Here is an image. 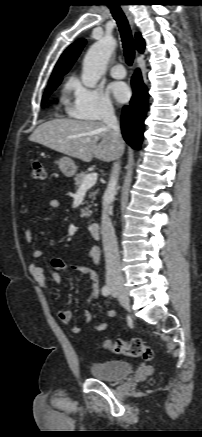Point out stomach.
I'll return each mask as SVG.
<instances>
[{"mask_svg":"<svg viewBox=\"0 0 202 437\" xmlns=\"http://www.w3.org/2000/svg\"><path fill=\"white\" fill-rule=\"evenodd\" d=\"M60 171L66 177H73L77 172L75 162L69 157H62L57 161Z\"/></svg>","mask_w":202,"mask_h":437,"instance_id":"1","label":"stomach"}]
</instances>
